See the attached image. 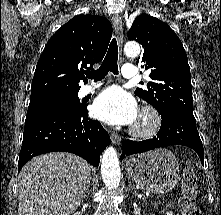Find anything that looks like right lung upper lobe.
Segmentation results:
<instances>
[{
	"instance_id": "right-lung-upper-lobe-1",
	"label": "right lung upper lobe",
	"mask_w": 221,
	"mask_h": 215,
	"mask_svg": "<svg viewBox=\"0 0 221 215\" xmlns=\"http://www.w3.org/2000/svg\"><path fill=\"white\" fill-rule=\"evenodd\" d=\"M111 36L112 25L104 17L81 14L64 24L49 39L38 60L30 101L78 93L83 69H93L103 59Z\"/></svg>"
}]
</instances>
